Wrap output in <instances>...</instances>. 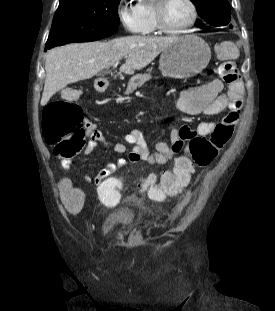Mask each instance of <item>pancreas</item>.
Wrapping results in <instances>:
<instances>
[{
	"label": "pancreas",
	"mask_w": 275,
	"mask_h": 311,
	"mask_svg": "<svg viewBox=\"0 0 275 311\" xmlns=\"http://www.w3.org/2000/svg\"><path fill=\"white\" fill-rule=\"evenodd\" d=\"M151 74H138L133 76L129 82L126 89V94L132 93L134 90H136L139 87H142L146 81H149L151 79Z\"/></svg>",
	"instance_id": "cf45deb5"
}]
</instances>
